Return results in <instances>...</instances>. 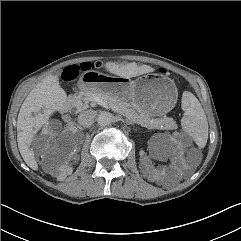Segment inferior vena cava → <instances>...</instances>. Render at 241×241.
<instances>
[{"instance_id": "obj_1", "label": "inferior vena cava", "mask_w": 241, "mask_h": 241, "mask_svg": "<svg viewBox=\"0 0 241 241\" xmlns=\"http://www.w3.org/2000/svg\"><path fill=\"white\" fill-rule=\"evenodd\" d=\"M97 112L94 110H85L82 111L77 118V121L80 126L90 127L94 124Z\"/></svg>"}]
</instances>
